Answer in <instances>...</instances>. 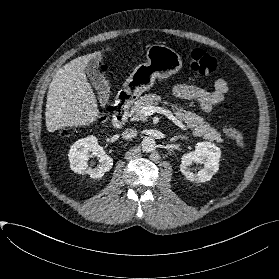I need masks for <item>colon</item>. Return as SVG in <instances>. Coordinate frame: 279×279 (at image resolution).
<instances>
[{"mask_svg":"<svg viewBox=\"0 0 279 279\" xmlns=\"http://www.w3.org/2000/svg\"><path fill=\"white\" fill-rule=\"evenodd\" d=\"M218 66L219 64L217 59L210 55L207 51L197 48L191 52L190 67L191 70L195 73L206 76L215 72L218 69ZM106 70L107 68L105 66H102V71L105 72ZM100 120L102 122H106L108 120V116L106 114H103L100 117ZM223 132L228 138L233 140L238 147H244V136L240 130L235 127H225L223 129ZM60 134L66 136L68 134V131L66 129H62L60 131Z\"/></svg>","mask_w":279,"mask_h":279,"instance_id":"1","label":"colon"}]
</instances>
